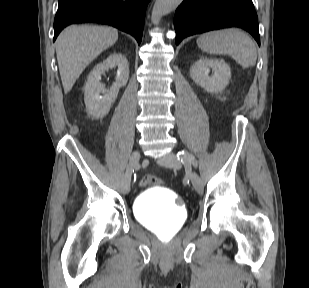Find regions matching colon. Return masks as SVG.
<instances>
[{"label":"colon","instance_id":"5ec220e1","mask_svg":"<svg viewBox=\"0 0 309 288\" xmlns=\"http://www.w3.org/2000/svg\"><path fill=\"white\" fill-rule=\"evenodd\" d=\"M139 184L142 187H146V186L153 185V184L160 185L161 182L154 176L146 175L140 180Z\"/></svg>","mask_w":309,"mask_h":288}]
</instances>
